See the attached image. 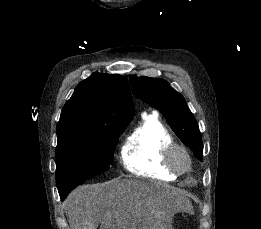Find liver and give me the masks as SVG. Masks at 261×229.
Masks as SVG:
<instances>
[{
    "label": "liver",
    "mask_w": 261,
    "mask_h": 229,
    "mask_svg": "<svg viewBox=\"0 0 261 229\" xmlns=\"http://www.w3.org/2000/svg\"><path fill=\"white\" fill-rule=\"evenodd\" d=\"M164 193V195H163ZM167 189L156 183L113 179L108 183L81 185L68 195L65 213L72 229H165L160 199ZM177 209L189 205L185 191L177 189Z\"/></svg>",
    "instance_id": "6515ba94"
}]
</instances>
